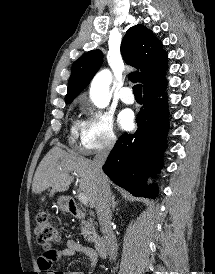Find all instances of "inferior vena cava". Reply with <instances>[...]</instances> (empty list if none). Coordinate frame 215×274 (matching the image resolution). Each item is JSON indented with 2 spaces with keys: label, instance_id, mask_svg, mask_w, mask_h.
<instances>
[{
  "label": "inferior vena cava",
  "instance_id": "obj_1",
  "mask_svg": "<svg viewBox=\"0 0 215 274\" xmlns=\"http://www.w3.org/2000/svg\"><path fill=\"white\" fill-rule=\"evenodd\" d=\"M115 141V138L108 140L105 148L97 153L92 161V166L96 174L98 185L95 208L108 253L110 258L113 260H115L117 256V241L111 226V191L107 177L102 170V166L105 163V160L107 159V156Z\"/></svg>",
  "mask_w": 215,
  "mask_h": 274
}]
</instances>
